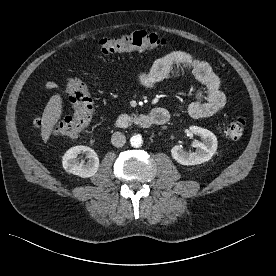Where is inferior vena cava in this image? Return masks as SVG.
Segmentation results:
<instances>
[{
    "instance_id": "602c4592",
    "label": "inferior vena cava",
    "mask_w": 276,
    "mask_h": 276,
    "mask_svg": "<svg viewBox=\"0 0 276 276\" xmlns=\"http://www.w3.org/2000/svg\"><path fill=\"white\" fill-rule=\"evenodd\" d=\"M111 143L115 147H123L126 143V137L121 132H115L111 137Z\"/></svg>"
}]
</instances>
